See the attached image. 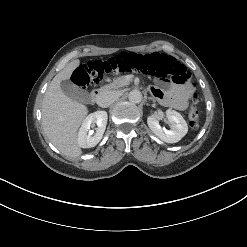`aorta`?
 Returning <instances> with one entry per match:
<instances>
[{
  "label": "aorta",
  "mask_w": 247,
  "mask_h": 247,
  "mask_svg": "<svg viewBox=\"0 0 247 247\" xmlns=\"http://www.w3.org/2000/svg\"><path fill=\"white\" fill-rule=\"evenodd\" d=\"M128 98L132 103H140L142 100V94L139 90H132L129 92Z\"/></svg>",
  "instance_id": "1"
}]
</instances>
